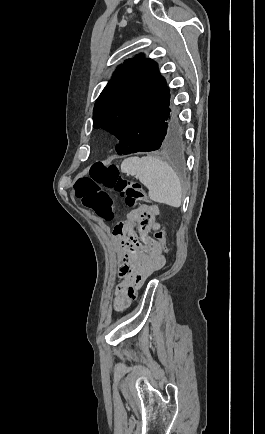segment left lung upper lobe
Returning a JSON list of instances; mask_svg holds the SVG:
<instances>
[{"label": "left lung upper lobe", "instance_id": "5c2ea615", "mask_svg": "<svg viewBox=\"0 0 265 434\" xmlns=\"http://www.w3.org/2000/svg\"><path fill=\"white\" fill-rule=\"evenodd\" d=\"M143 56L117 67L94 106L93 127L112 133L119 143L160 125L171 111L166 80L157 64Z\"/></svg>", "mask_w": 265, "mask_h": 434}]
</instances>
